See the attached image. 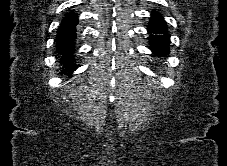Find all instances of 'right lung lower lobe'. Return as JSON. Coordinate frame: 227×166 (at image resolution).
Wrapping results in <instances>:
<instances>
[{
  "mask_svg": "<svg viewBox=\"0 0 227 166\" xmlns=\"http://www.w3.org/2000/svg\"><path fill=\"white\" fill-rule=\"evenodd\" d=\"M78 23V18L75 13L68 14L57 31V48L63 55L61 62L66 65V71L70 68L68 74L73 72V62L75 60L73 56L74 51V41L76 37V25Z\"/></svg>",
  "mask_w": 227,
  "mask_h": 166,
  "instance_id": "right-lung-lower-lobe-1",
  "label": "right lung lower lobe"
}]
</instances>
